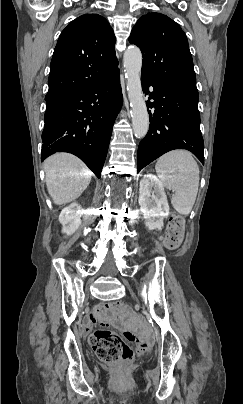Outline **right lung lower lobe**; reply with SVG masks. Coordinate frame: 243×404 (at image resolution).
I'll use <instances>...</instances> for the list:
<instances>
[{
	"label": "right lung lower lobe",
	"mask_w": 243,
	"mask_h": 404,
	"mask_svg": "<svg viewBox=\"0 0 243 404\" xmlns=\"http://www.w3.org/2000/svg\"><path fill=\"white\" fill-rule=\"evenodd\" d=\"M121 105L119 71L81 90L47 99L41 160L69 152L100 178Z\"/></svg>",
	"instance_id": "98d812e1"
}]
</instances>
